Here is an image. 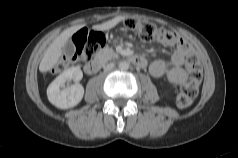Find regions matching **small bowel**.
I'll use <instances>...</instances> for the list:
<instances>
[{
  "label": "small bowel",
  "instance_id": "1",
  "mask_svg": "<svg viewBox=\"0 0 238 158\" xmlns=\"http://www.w3.org/2000/svg\"><path fill=\"white\" fill-rule=\"evenodd\" d=\"M160 43L166 47H174L169 63L165 60H155L149 66V72L154 78H166L170 83L181 85L187 80L183 68L185 60L193 54L192 47L179 35L171 33L170 37Z\"/></svg>",
  "mask_w": 238,
  "mask_h": 158
}]
</instances>
